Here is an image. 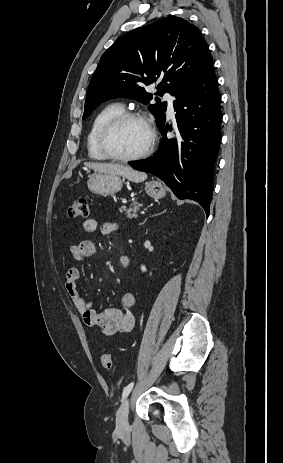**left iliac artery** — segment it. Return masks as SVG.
<instances>
[{
  "mask_svg": "<svg viewBox=\"0 0 283 463\" xmlns=\"http://www.w3.org/2000/svg\"><path fill=\"white\" fill-rule=\"evenodd\" d=\"M133 386H134V382H131L130 384H128V385L123 389L122 399H125V398L128 396V394L131 392Z\"/></svg>",
  "mask_w": 283,
  "mask_h": 463,
  "instance_id": "obj_1",
  "label": "left iliac artery"
}]
</instances>
